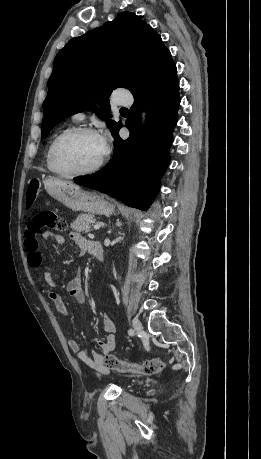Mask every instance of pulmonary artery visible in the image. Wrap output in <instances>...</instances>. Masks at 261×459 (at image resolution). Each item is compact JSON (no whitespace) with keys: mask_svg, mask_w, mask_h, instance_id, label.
<instances>
[{"mask_svg":"<svg viewBox=\"0 0 261 459\" xmlns=\"http://www.w3.org/2000/svg\"><path fill=\"white\" fill-rule=\"evenodd\" d=\"M131 97L126 94V93H123V92H117L115 94V103L117 105H123V106H127V105H130L131 104ZM73 119L75 121H82L85 119V113L84 112H78L76 114L73 115Z\"/></svg>","mask_w":261,"mask_h":459,"instance_id":"e3ab8cb5","label":"pulmonary artery"}]
</instances>
